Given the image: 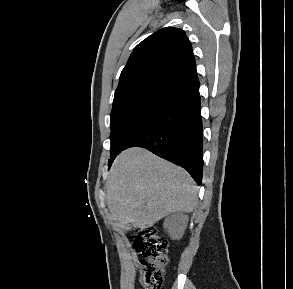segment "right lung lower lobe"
Returning <instances> with one entry per match:
<instances>
[{
	"instance_id": "right-lung-lower-lobe-1",
	"label": "right lung lower lobe",
	"mask_w": 293,
	"mask_h": 289,
	"mask_svg": "<svg viewBox=\"0 0 293 289\" xmlns=\"http://www.w3.org/2000/svg\"><path fill=\"white\" fill-rule=\"evenodd\" d=\"M130 147H143L183 167L198 185L203 172V129L199 94L175 105L137 134L115 157Z\"/></svg>"
}]
</instances>
